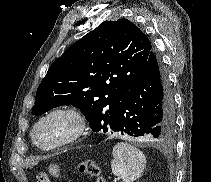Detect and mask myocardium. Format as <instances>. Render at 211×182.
I'll use <instances>...</instances> for the list:
<instances>
[{
  "label": "myocardium",
  "mask_w": 211,
  "mask_h": 182,
  "mask_svg": "<svg viewBox=\"0 0 211 182\" xmlns=\"http://www.w3.org/2000/svg\"><path fill=\"white\" fill-rule=\"evenodd\" d=\"M55 115H66L71 117L75 121V127L74 129L66 135L64 138L61 140L50 143V144H41L37 139H36V131L38 127L47 119H49L52 116ZM88 118L85 115L83 111L76 107L72 106H62V107H57L49 112L45 113L42 115L33 125V128L31 130V139L33 143L40 149L42 150H52L56 149L59 147H62L64 145H67L69 143H72L73 141L79 139L87 130L88 128Z\"/></svg>",
  "instance_id": "obj_1"
}]
</instances>
